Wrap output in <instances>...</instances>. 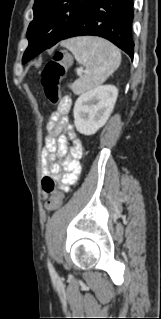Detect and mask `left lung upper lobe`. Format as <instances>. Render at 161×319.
<instances>
[{"mask_svg":"<svg viewBox=\"0 0 161 319\" xmlns=\"http://www.w3.org/2000/svg\"><path fill=\"white\" fill-rule=\"evenodd\" d=\"M95 0H35L34 19L27 30L29 45L23 63L34 51L38 55L59 42Z\"/></svg>","mask_w":161,"mask_h":319,"instance_id":"obj_1","label":"left lung upper lobe"}]
</instances>
